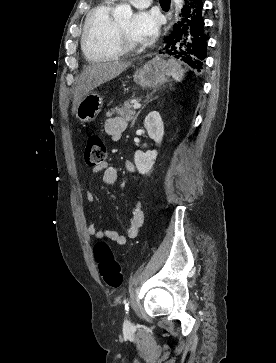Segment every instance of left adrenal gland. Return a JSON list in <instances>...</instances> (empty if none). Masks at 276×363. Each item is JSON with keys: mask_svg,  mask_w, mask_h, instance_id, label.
I'll return each instance as SVG.
<instances>
[{"mask_svg": "<svg viewBox=\"0 0 276 363\" xmlns=\"http://www.w3.org/2000/svg\"><path fill=\"white\" fill-rule=\"evenodd\" d=\"M150 101H152V99H151ZM150 101H149V102H150ZM140 112H141V110H140V111H138V113L136 114L135 119H134V120H133V122H132V126L134 125L135 120L137 119V117H138V115L140 114Z\"/></svg>", "mask_w": 276, "mask_h": 363, "instance_id": "a2214340", "label": "left adrenal gland"}]
</instances>
